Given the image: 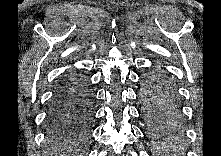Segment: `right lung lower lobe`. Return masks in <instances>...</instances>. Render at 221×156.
Masks as SVG:
<instances>
[{
    "mask_svg": "<svg viewBox=\"0 0 221 156\" xmlns=\"http://www.w3.org/2000/svg\"><path fill=\"white\" fill-rule=\"evenodd\" d=\"M93 92L88 80L68 74L58 83L51 99L47 126L52 132L77 130L88 126L93 114Z\"/></svg>",
    "mask_w": 221,
    "mask_h": 156,
    "instance_id": "1",
    "label": "right lung lower lobe"
}]
</instances>
